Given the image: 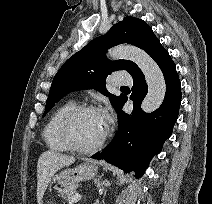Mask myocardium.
Instances as JSON below:
<instances>
[{"label":"myocardium","mask_w":212,"mask_h":204,"mask_svg":"<svg viewBox=\"0 0 212 204\" xmlns=\"http://www.w3.org/2000/svg\"><path fill=\"white\" fill-rule=\"evenodd\" d=\"M85 112H100L101 113V110L93 105H87V104L75 105L65 112V114L62 116L59 123V133L63 142L66 144L69 150H72L78 153H91L93 151H96L104 144L109 133V128L106 127V130L104 134L102 135V137L97 142L89 146H81L78 143H76L72 134L71 124L73 119L76 116Z\"/></svg>","instance_id":"myocardium-1"}]
</instances>
